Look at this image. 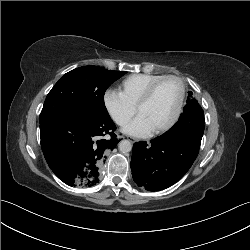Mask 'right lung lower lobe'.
<instances>
[{
  "label": "right lung lower lobe",
  "mask_w": 250,
  "mask_h": 250,
  "mask_svg": "<svg viewBox=\"0 0 250 250\" xmlns=\"http://www.w3.org/2000/svg\"><path fill=\"white\" fill-rule=\"evenodd\" d=\"M108 114H63L40 123L41 147L54 174L69 186L92 187L106 154L118 144ZM106 134L109 139L102 138Z\"/></svg>",
  "instance_id": "right-lung-lower-lobe-1"
}]
</instances>
